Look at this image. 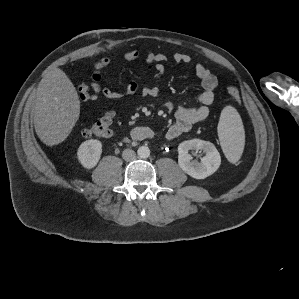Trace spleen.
<instances>
[{"label": "spleen", "instance_id": "1", "mask_svg": "<svg viewBox=\"0 0 299 299\" xmlns=\"http://www.w3.org/2000/svg\"><path fill=\"white\" fill-rule=\"evenodd\" d=\"M218 136L227 159L236 163L243 152L245 135L241 117L234 107L226 106L222 110Z\"/></svg>", "mask_w": 299, "mask_h": 299}]
</instances>
